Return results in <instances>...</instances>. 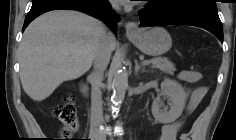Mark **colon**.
I'll use <instances>...</instances> for the list:
<instances>
[{
    "mask_svg": "<svg viewBox=\"0 0 236 140\" xmlns=\"http://www.w3.org/2000/svg\"><path fill=\"white\" fill-rule=\"evenodd\" d=\"M53 114L63 125L62 134L64 137H68L78 124L72 96L69 94L65 95L61 102L55 106Z\"/></svg>",
    "mask_w": 236,
    "mask_h": 140,
    "instance_id": "1",
    "label": "colon"
}]
</instances>
